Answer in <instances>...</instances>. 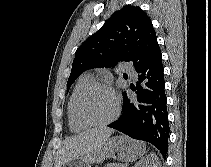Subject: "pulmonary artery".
Returning a JSON list of instances; mask_svg holds the SVG:
<instances>
[{"mask_svg": "<svg viewBox=\"0 0 211 167\" xmlns=\"http://www.w3.org/2000/svg\"><path fill=\"white\" fill-rule=\"evenodd\" d=\"M125 69H126L127 71H131L130 67H128L127 65H125Z\"/></svg>", "mask_w": 211, "mask_h": 167, "instance_id": "pulmonary-artery-1", "label": "pulmonary artery"}]
</instances>
